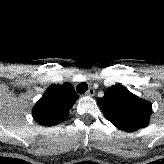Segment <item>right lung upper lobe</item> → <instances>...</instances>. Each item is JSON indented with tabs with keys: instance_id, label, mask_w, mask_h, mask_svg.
I'll return each mask as SVG.
<instances>
[{
	"instance_id": "cb5924a9",
	"label": "right lung upper lobe",
	"mask_w": 164,
	"mask_h": 164,
	"mask_svg": "<svg viewBox=\"0 0 164 164\" xmlns=\"http://www.w3.org/2000/svg\"><path fill=\"white\" fill-rule=\"evenodd\" d=\"M77 99L78 95L70 83L50 86L33 107V117L43 126L59 124L67 119Z\"/></svg>"
}]
</instances>
